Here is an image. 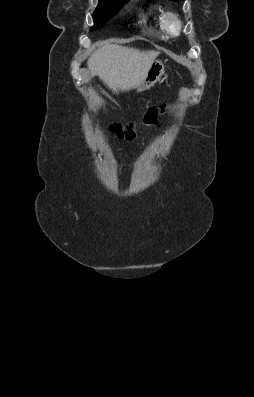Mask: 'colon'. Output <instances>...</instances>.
I'll return each instance as SVG.
<instances>
[{
    "label": "colon",
    "instance_id": "obj_1",
    "mask_svg": "<svg viewBox=\"0 0 254 397\" xmlns=\"http://www.w3.org/2000/svg\"><path fill=\"white\" fill-rule=\"evenodd\" d=\"M163 107H153L149 109L143 117L142 124L144 126H154L158 122L160 112ZM110 129L121 138L131 139L136 135V126L133 123L113 124Z\"/></svg>",
    "mask_w": 254,
    "mask_h": 397
}]
</instances>
